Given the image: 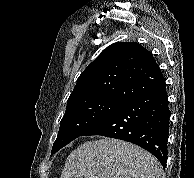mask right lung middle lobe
Instances as JSON below:
<instances>
[{
	"label": "right lung middle lobe",
	"instance_id": "dd1d6c3e",
	"mask_svg": "<svg viewBox=\"0 0 194 178\" xmlns=\"http://www.w3.org/2000/svg\"><path fill=\"white\" fill-rule=\"evenodd\" d=\"M124 102L120 99L96 97L78 99L67 103L51 155L81 136Z\"/></svg>",
	"mask_w": 194,
	"mask_h": 178
}]
</instances>
